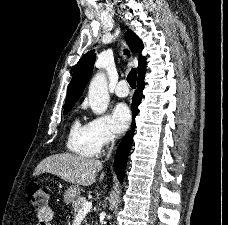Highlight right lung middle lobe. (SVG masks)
I'll return each instance as SVG.
<instances>
[{
  "mask_svg": "<svg viewBox=\"0 0 228 225\" xmlns=\"http://www.w3.org/2000/svg\"><path fill=\"white\" fill-rule=\"evenodd\" d=\"M74 105H70V106H67V107H64V114H67L71 108L73 107Z\"/></svg>",
  "mask_w": 228,
  "mask_h": 225,
  "instance_id": "right-lung-middle-lobe-1",
  "label": "right lung middle lobe"
}]
</instances>
